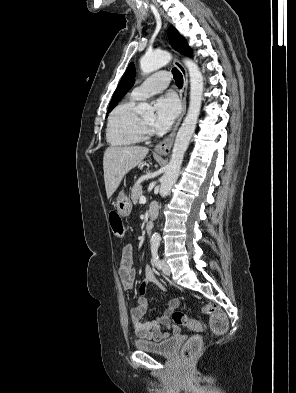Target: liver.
Wrapping results in <instances>:
<instances>
[{"mask_svg": "<svg viewBox=\"0 0 296 393\" xmlns=\"http://www.w3.org/2000/svg\"><path fill=\"white\" fill-rule=\"evenodd\" d=\"M148 152V148L140 146L108 147L105 150L103 170L108 199L116 191L123 177L139 165Z\"/></svg>", "mask_w": 296, "mask_h": 393, "instance_id": "liver-1", "label": "liver"}]
</instances>
